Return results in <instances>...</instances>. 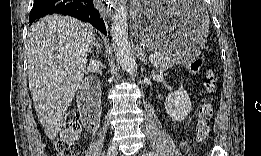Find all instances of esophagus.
<instances>
[{"label": "esophagus", "instance_id": "esophagus-1", "mask_svg": "<svg viewBox=\"0 0 261 156\" xmlns=\"http://www.w3.org/2000/svg\"><path fill=\"white\" fill-rule=\"evenodd\" d=\"M111 7H113V8H111ZM114 8H115L114 4H111L110 6L108 5L107 8H105L104 10L102 9V13L106 16L107 15L109 16V15L113 14Z\"/></svg>", "mask_w": 261, "mask_h": 156}]
</instances>
